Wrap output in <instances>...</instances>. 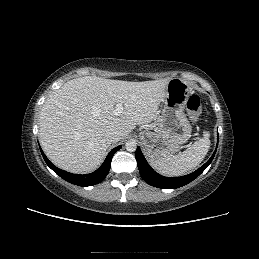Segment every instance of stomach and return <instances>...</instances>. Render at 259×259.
I'll use <instances>...</instances> for the list:
<instances>
[{"label": "stomach", "mask_w": 259, "mask_h": 259, "mask_svg": "<svg viewBox=\"0 0 259 259\" xmlns=\"http://www.w3.org/2000/svg\"><path fill=\"white\" fill-rule=\"evenodd\" d=\"M192 94L188 83L180 78L170 79L163 95V108L154 131L141 133L144 152L151 159L167 158L191 137L192 127L184 113Z\"/></svg>", "instance_id": "1"}]
</instances>
